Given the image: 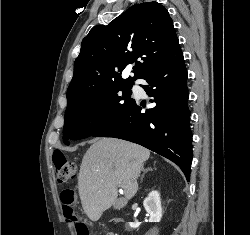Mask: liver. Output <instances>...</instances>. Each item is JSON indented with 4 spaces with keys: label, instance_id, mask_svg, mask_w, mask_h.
<instances>
[{
    "label": "liver",
    "instance_id": "liver-1",
    "mask_svg": "<svg viewBox=\"0 0 250 235\" xmlns=\"http://www.w3.org/2000/svg\"><path fill=\"white\" fill-rule=\"evenodd\" d=\"M149 156L148 149L116 138H102L90 146L78 176L82 207L90 220L98 221L111 206H123L136 194L137 179ZM119 186L124 200L117 199Z\"/></svg>",
    "mask_w": 250,
    "mask_h": 235
}]
</instances>
